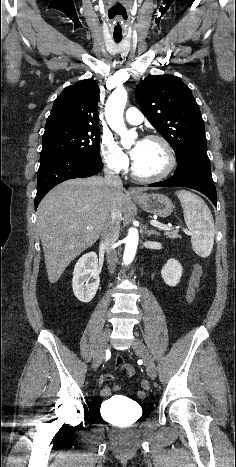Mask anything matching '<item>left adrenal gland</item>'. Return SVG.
I'll use <instances>...</instances> for the list:
<instances>
[{
    "mask_svg": "<svg viewBox=\"0 0 236 467\" xmlns=\"http://www.w3.org/2000/svg\"><path fill=\"white\" fill-rule=\"evenodd\" d=\"M145 234L148 237H150L151 235H156V236L159 235V233L157 231H155V230H147V226H145Z\"/></svg>",
    "mask_w": 236,
    "mask_h": 467,
    "instance_id": "obj_1",
    "label": "left adrenal gland"
}]
</instances>
